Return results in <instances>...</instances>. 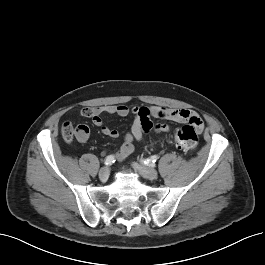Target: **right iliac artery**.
Returning <instances> with one entry per match:
<instances>
[{
    "label": "right iliac artery",
    "instance_id": "82829eb1",
    "mask_svg": "<svg viewBox=\"0 0 265 265\" xmlns=\"http://www.w3.org/2000/svg\"><path fill=\"white\" fill-rule=\"evenodd\" d=\"M115 161H116L115 157L113 155H109L106 157L104 163L105 165L109 166V165H112Z\"/></svg>",
    "mask_w": 265,
    "mask_h": 265
}]
</instances>
